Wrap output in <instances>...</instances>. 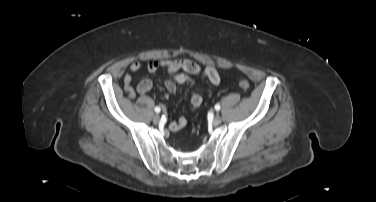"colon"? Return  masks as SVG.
Instances as JSON below:
<instances>
[{
  "label": "colon",
  "mask_w": 376,
  "mask_h": 202,
  "mask_svg": "<svg viewBox=\"0 0 376 202\" xmlns=\"http://www.w3.org/2000/svg\"><path fill=\"white\" fill-rule=\"evenodd\" d=\"M239 87H240L242 90L246 91V90L249 89V87H250V83H249L247 80L242 79V80L239 81Z\"/></svg>",
  "instance_id": "colon-1"
}]
</instances>
